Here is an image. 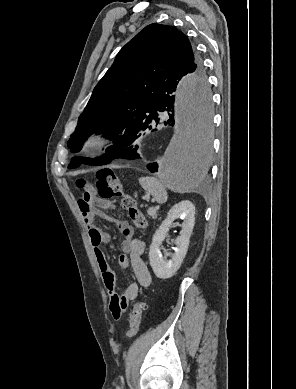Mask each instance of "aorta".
I'll return each instance as SVG.
<instances>
[{
	"label": "aorta",
	"mask_w": 296,
	"mask_h": 389,
	"mask_svg": "<svg viewBox=\"0 0 296 389\" xmlns=\"http://www.w3.org/2000/svg\"><path fill=\"white\" fill-rule=\"evenodd\" d=\"M175 89L176 130L159 172L175 189H198L213 160L211 85L199 72H190Z\"/></svg>",
	"instance_id": "aorta-1"
}]
</instances>
